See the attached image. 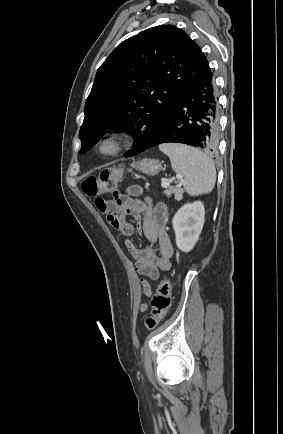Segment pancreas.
Returning a JSON list of instances; mask_svg holds the SVG:
<instances>
[{"label": "pancreas", "mask_w": 283, "mask_h": 434, "mask_svg": "<svg viewBox=\"0 0 283 434\" xmlns=\"http://www.w3.org/2000/svg\"><path fill=\"white\" fill-rule=\"evenodd\" d=\"M172 193L175 194V198L176 199H181L182 198V194H183V190L181 188L172 187V188L166 189L164 191V194L167 197H170Z\"/></svg>", "instance_id": "pancreas-1"}]
</instances>
